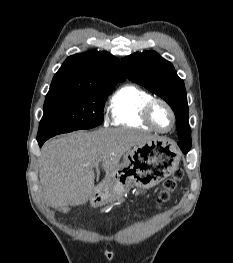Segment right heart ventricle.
<instances>
[{
  "instance_id": "e07e8e85",
  "label": "right heart ventricle",
  "mask_w": 233,
  "mask_h": 263,
  "mask_svg": "<svg viewBox=\"0 0 233 263\" xmlns=\"http://www.w3.org/2000/svg\"><path fill=\"white\" fill-rule=\"evenodd\" d=\"M152 98L148 91L138 86L127 84L120 87L109 103L110 123L113 126L152 130L142 118L143 107Z\"/></svg>"
}]
</instances>
